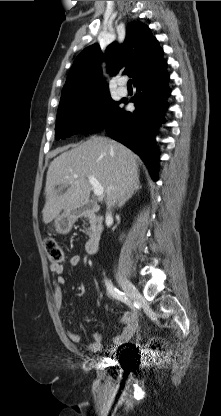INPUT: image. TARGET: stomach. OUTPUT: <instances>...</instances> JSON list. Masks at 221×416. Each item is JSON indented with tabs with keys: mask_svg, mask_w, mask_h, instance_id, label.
<instances>
[{
	"mask_svg": "<svg viewBox=\"0 0 221 416\" xmlns=\"http://www.w3.org/2000/svg\"><path fill=\"white\" fill-rule=\"evenodd\" d=\"M77 219V215L73 212L66 210L61 215H58L54 220V227L59 234H68L74 222Z\"/></svg>",
	"mask_w": 221,
	"mask_h": 416,
	"instance_id": "0dacf381",
	"label": "stomach"
}]
</instances>
